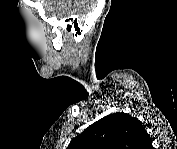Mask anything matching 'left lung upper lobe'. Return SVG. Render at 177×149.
I'll use <instances>...</instances> for the list:
<instances>
[{"mask_svg": "<svg viewBox=\"0 0 177 149\" xmlns=\"http://www.w3.org/2000/svg\"><path fill=\"white\" fill-rule=\"evenodd\" d=\"M147 135L137 118L127 113H114L86 128L67 149H146Z\"/></svg>", "mask_w": 177, "mask_h": 149, "instance_id": "1", "label": "left lung upper lobe"}]
</instances>
